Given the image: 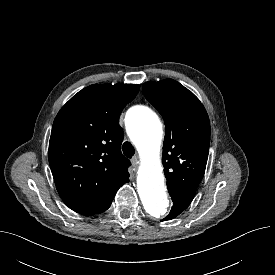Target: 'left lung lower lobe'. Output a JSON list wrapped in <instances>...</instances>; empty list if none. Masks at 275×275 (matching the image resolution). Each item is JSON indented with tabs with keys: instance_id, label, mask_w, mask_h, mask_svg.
Returning a JSON list of instances; mask_svg holds the SVG:
<instances>
[{
	"instance_id": "obj_1",
	"label": "left lung lower lobe",
	"mask_w": 275,
	"mask_h": 275,
	"mask_svg": "<svg viewBox=\"0 0 275 275\" xmlns=\"http://www.w3.org/2000/svg\"><path fill=\"white\" fill-rule=\"evenodd\" d=\"M169 194L172 198L173 206L169 215L163 220L175 218L189 206L195 196V194L191 192H170Z\"/></svg>"
}]
</instances>
